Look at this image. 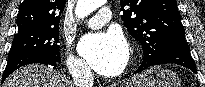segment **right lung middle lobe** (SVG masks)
Masks as SVG:
<instances>
[{"instance_id": "1", "label": "right lung middle lobe", "mask_w": 205, "mask_h": 87, "mask_svg": "<svg viewBox=\"0 0 205 87\" xmlns=\"http://www.w3.org/2000/svg\"><path fill=\"white\" fill-rule=\"evenodd\" d=\"M58 39L59 28L19 31L8 55L32 53L60 62Z\"/></svg>"}]
</instances>
